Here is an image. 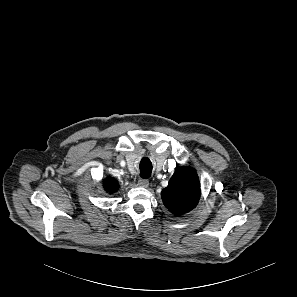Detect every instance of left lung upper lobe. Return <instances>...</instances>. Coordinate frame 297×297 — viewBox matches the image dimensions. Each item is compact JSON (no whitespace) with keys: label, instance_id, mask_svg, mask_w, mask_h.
Wrapping results in <instances>:
<instances>
[{"label":"left lung upper lobe","instance_id":"obj_1","mask_svg":"<svg viewBox=\"0 0 297 297\" xmlns=\"http://www.w3.org/2000/svg\"><path fill=\"white\" fill-rule=\"evenodd\" d=\"M165 207L173 214L182 215L197 205L200 197V183L192 167L178 168L166 188L161 192Z\"/></svg>","mask_w":297,"mask_h":297}]
</instances>
